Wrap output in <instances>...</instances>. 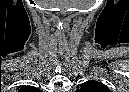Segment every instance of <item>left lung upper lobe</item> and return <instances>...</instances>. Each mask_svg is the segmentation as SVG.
<instances>
[{"instance_id":"1","label":"left lung upper lobe","mask_w":129,"mask_h":92,"mask_svg":"<svg viewBox=\"0 0 129 92\" xmlns=\"http://www.w3.org/2000/svg\"><path fill=\"white\" fill-rule=\"evenodd\" d=\"M79 92H110V90L102 83L97 81H87L81 84L77 90Z\"/></svg>"}]
</instances>
